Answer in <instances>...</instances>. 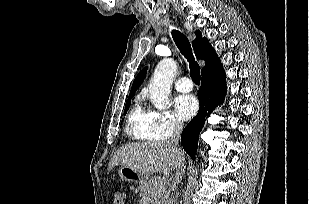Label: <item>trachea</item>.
I'll return each instance as SVG.
<instances>
[{
  "label": "trachea",
  "instance_id": "1",
  "mask_svg": "<svg viewBox=\"0 0 309 204\" xmlns=\"http://www.w3.org/2000/svg\"><path fill=\"white\" fill-rule=\"evenodd\" d=\"M172 37L177 47L179 48L180 52L190 63V76L192 80L196 84H200V67L193 57L191 45L188 39L186 38L185 35L176 30L172 31Z\"/></svg>",
  "mask_w": 309,
  "mask_h": 204
}]
</instances>
